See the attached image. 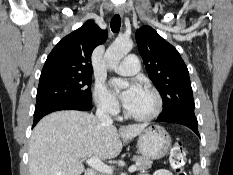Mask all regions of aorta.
<instances>
[{
    "instance_id": "aorta-1",
    "label": "aorta",
    "mask_w": 233,
    "mask_h": 175,
    "mask_svg": "<svg viewBox=\"0 0 233 175\" xmlns=\"http://www.w3.org/2000/svg\"><path fill=\"white\" fill-rule=\"evenodd\" d=\"M133 48V42L129 39H117L106 50L105 59L107 66L111 69L116 68L121 59Z\"/></svg>"
}]
</instances>
